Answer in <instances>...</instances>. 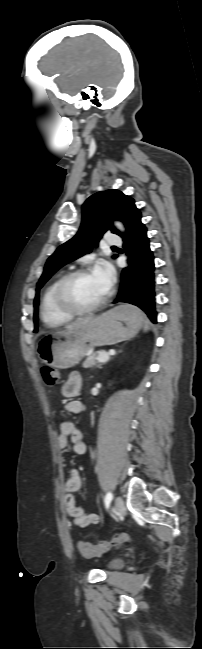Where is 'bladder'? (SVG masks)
<instances>
[{
	"label": "bladder",
	"instance_id": "1",
	"mask_svg": "<svg viewBox=\"0 0 202 649\" xmlns=\"http://www.w3.org/2000/svg\"><path fill=\"white\" fill-rule=\"evenodd\" d=\"M124 566V561L122 559H113L106 565L108 570H119Z\"/></svg>",
	"mask_w": 202,
	"mask_h": 649
}]
</instances>
